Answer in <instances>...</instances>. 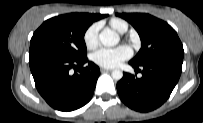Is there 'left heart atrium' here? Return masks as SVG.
Instances as JSON below:
<instances>
[{
  "instance_id": "1",
  "label": "left heart atrium",
  "mask_w": 203,
  "mask_h": 123,
  "mask_svg": "<svg viewBox=\"0 0 203 123\" xmlns=\"http://www.w3.org/2000/svg\"><path fill=\"white\" fill-rule=\"evenodd\" d=\"M132 51L127 46L115 48H100L92 55V60L97 65L104 68H114L119 66L123 61L130 58Z\"/></svg>"
}]
</instances>
